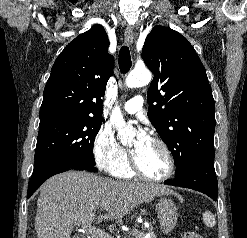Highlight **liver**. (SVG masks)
Here are the masks:
<instances>
[{"label": "liver", "mask_w": 247, "mask_h": 238, "mask_svg": "<svg viewBox=\"0 0 247 238\" xmlns=\"http://www.w3.org/2000/svg\"><path fill=\"white\" fill-rule=\"evenodd\" d=\"M35 228L38 238H71L79 223L121 219L156 196L175 195L164 185L114 181L84 171H68L48 179L40 188Z\"/></svg>", "instance_id": "obj_1"}]
</instances>
